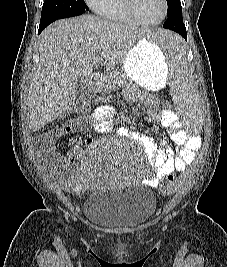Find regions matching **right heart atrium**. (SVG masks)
I'll return each mask as SVG.
<instances>
[{
  "instance_id": "d8ad5b80",
  "label": "right heart atrium",
  "mask_w": 227,
  "mask_h": 267,
  "mask_svg": "<svg viewBox=\"0 0 227 267\" xmlns=\"http://www.w3.org/2000/svg\"><path fill=\"white\" fill-rule=\"evenodd\" d=\"M85 3L95 12H99L103 8L108 0H84Z\"/></svg>"
}]
</instances>
